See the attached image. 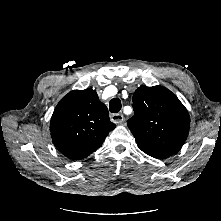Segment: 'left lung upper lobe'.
<instances>
[{"label": "left lung upper lobe", "mask_w": 221, "mask_h": 221, "mask_svg": "<svg viewBox=\"0 0 221 221\" xmlns=\"http://www.w3.org/2000/svg\"><path fill=\"white\" fill-rule=\"evenodd\" d=\"M135 115L127 122L137 145L146 154L164 159L177 153L190 127L188 111L162 86H140L133 95Z\"/></svg>", "instance_id": "1"}]
</instances>
